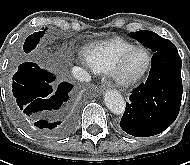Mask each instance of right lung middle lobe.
Masks as SVG:
<instances>
[{"mask_svg": "<svg viewBox=\"0 0 190 165\" xmlns=\"http://www.w3.org/2000/svg\"><path fill=\"white\" fill-rule=\"evenodd\" d=\"M43 34L44 31H39L27 37L23 45V50L26 53H29L31 50H33L36 47L37 43L39 42L40 38L43 36Z\"/></svg>", "mask_w": 190, "mask_h": 165, "instance_id": "right-lung-middle-lobe-1", "label": "right lung middle lobe"}]
</instances>
